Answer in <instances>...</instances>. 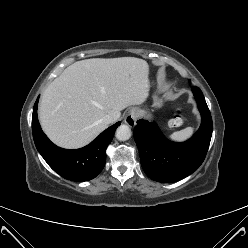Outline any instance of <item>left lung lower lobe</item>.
I'll return each instance as SVG.
<instances>
[{
    "instance_id": "1",
    "label": "left lung lower lobe",
    "mask_w": 248,
    "mask_h": 248,
    "mask_svg": "<svg viewBox=\"0 0 248 248\" xmlns=\"http://www.w3.org/2000/svg\"><path fill=\"white\" fill-rule=\"evenodd\" d=\"M201 113L202 123L192 138L183 143L164 137L155 122L139 120L134 138L144 172L153 180L170 183L193 173L202 164L212 135V118L201 90L192 87Z\"/></svg>"
}]
</instances>
